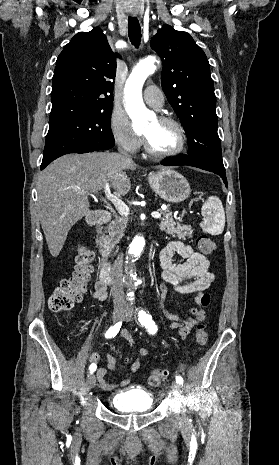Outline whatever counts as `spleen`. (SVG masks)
Wrapping results in <instances>:
<instances>
[{
	"instance_id": "1",
	"label": "spleen",
	"mask_w": 279,
	"mask_h": 465,
	"mask_svg": "<svg viewBox=\"0 0 279 465\" xmlns=\"http://www.w3.org/2000/svg\"><path fill=\"white\" fill-rule=\"evenodd\" d=\"M203 221L201 227L212 234H222L225 226V212L217 197H209L202 206Z\"/></svg>"
}]
</instances>
